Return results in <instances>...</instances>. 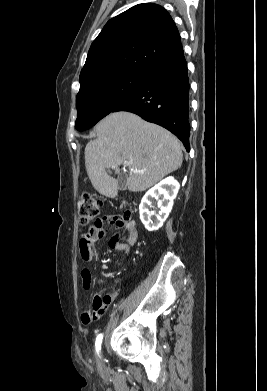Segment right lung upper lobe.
<instances>
[{
    "instance_id": "obj_1",
    "label": "right lung upper lobe",
    "mask_w": 267,
    "mask_h": 391,
    "mask_svg": "<svg viewBox=\"0 0 267 391\" xmlns=\"http://www.w3.org/2000/svg\"><path fill=\"white\" fill-rule=\"evenodd\" d=\"M183 53L169 13L157 4H139L109 20L93 41L80 73V87L105 73H148Z\"/></svg>"
}]
</instances>
